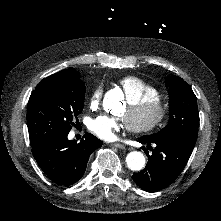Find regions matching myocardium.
<instances>
[{"label": "myocardium", "instance_id": "myocardium-1", "mask_svg": "<svg viewBox=\"0 0 221 221\" xmlns=\"http://www.w3.org/2000/svg\"><path fill=\"white\" fill-rule=\"evenodd\" d=\"M172 116L169 100L156 94L146 102L136 103L126 114V126L136 133H151L168 125Z\"/></svg>", "mask_w": 221, "mask_h": 221}]
</instances>
